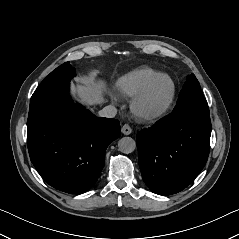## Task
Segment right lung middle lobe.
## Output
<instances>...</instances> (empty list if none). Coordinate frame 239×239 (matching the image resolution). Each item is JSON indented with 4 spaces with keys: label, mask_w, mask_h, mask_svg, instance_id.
Masks as SVG:
<instances>
[{
    "label": "right lung middle lobe",
    "mask_w": 239,
    "mask_h": 239,
    "mask_svg": "<svg viewBox=\"0 0 239 239\" xmlns=\"http://www.w3.org/2000/svg\"><path fill=\"white\" fill-rule=\"evenodd\" d=\"M75 76V69L69 62L62 64L52 71L38 86L31 97V101L35 100L48 90L69 83L70 79Z\"/></svg>",
    "instance_id": "1"
}]
</instances>
